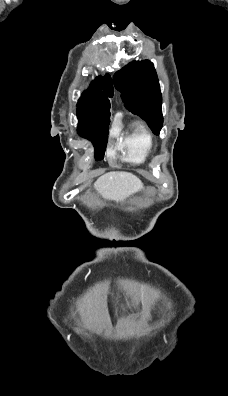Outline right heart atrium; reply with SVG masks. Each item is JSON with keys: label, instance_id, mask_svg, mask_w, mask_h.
<instances>
[{"label": "right heart atrium", "instance_id": "right-heart-atrium-1", "mask_svg": "<svg viewBox=\"0 0 228 396\" xmlns=\"http://www.w3.org/2000/svg\"><path fill=\"white\" fill-rule=\"evenodd\" d=\"M111 135H112V136H115V135H116V131H115V130H112V131H111Z\"/></svg>", "mask_w": 228, "mask_h": 396}]
</instances>
